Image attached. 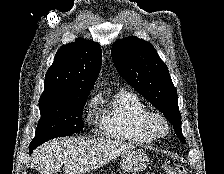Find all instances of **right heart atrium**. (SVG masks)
I'll return each instance as SVG.
<instances>
[{
  "label": "right heart atrium",
  "mask_w": 224,
  "mask_h": 174,
  "mask_svg": "<svg viewBox=\"0 0 224 174\" xmlns=\"http://www.w3.org/2000/svg\"><path fill=\"white\" fill-rule=\"evenodd\" d=\"M96 102H97V97H94V98L89 102V108H88V109H89V115L92 114V112H93V108H94Z\"/></svg>",
  "instance_id": "obj_1"
}]
</instances>
